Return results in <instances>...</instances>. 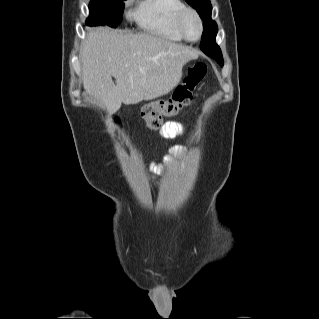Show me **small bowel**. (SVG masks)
Masks as SVG:
<instances>
[{
    "label": "small bowel",
    "instance_id": "1",
    "mask_svg": "<svg viewBox=\"0 0 319 319\" xmlns=\"http://www.w3.org/2000/svg\"><path fill=\"white\" fill-rule=\"evenodd\" d=\"M183 133L184 127L182 126V124L173 121L165 123L159 132L160 136L166 140L177 139L181 137ZM170 152L181 157L185 156L188 153L186 147L181 144L172 145L170 147ZM164 160L165 162L169 163L171 161L170 156L167 155ZM149 167L154 174L160 175L164 172L162 166L155 162H152Z\"/></svg>",
    "mask_w": 319,
    "mask_h": 319
}]
</instances>
